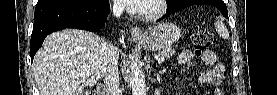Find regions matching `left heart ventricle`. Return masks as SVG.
<instances>
[{
    "label": "left heart ventricle",
    "instance_id": "1",
    "mask_svg": "<svg viewBox=\"0 0 277 95\" xmlns=\"http://www.w3.org/2000/svg\"><path fill=\"white\" fill-rule=\"evenodd\" d=\"M155 8H156V3L152 0H149L145 3L142 10L145 12H151V11H154Z\"/></svg>",
    "mask_w": 277,
    "mask_h": 95
}]
</instances>
